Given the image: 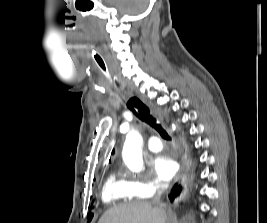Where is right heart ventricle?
Returning <instances> with one entry per match:
<instances>
[{
  "instance_id": "right-heart-ventricle-1",
  "label": "right heart ventricle",
  "mask_w": 267,
  "mask_h": 223,
  "mask_svg": "<svg viewBox=\"0 0 267 223\" xmlns=\"http://www.w3.org/2000/svg\"><path fill=\"white\" fill-rule=\"evenodd\" d=\"M135 196L132 192L130 180L121 172H113L107 178L102 190V200L111 205L130 200Z\"/></svg>"
}]
</instances>
